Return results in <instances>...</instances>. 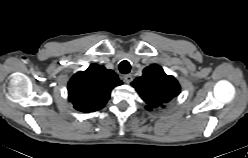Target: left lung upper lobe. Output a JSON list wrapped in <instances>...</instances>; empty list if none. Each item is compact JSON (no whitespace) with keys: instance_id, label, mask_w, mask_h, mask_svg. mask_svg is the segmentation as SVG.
<instances>
[{"instance_id":"obj_1","label":"left lung upper lobe","mask_w":248,"mask_h":158,"mask_svg":"<svg viewBox=\"0 0 248 158\" xmlns=\"http://www.w3.org/2000/svg\"><path fill=\"white\" fill-rule=\"evenodd\" d=\"M140 97L148 104L146 109L157 108L180 93V86L173 76L165 74L158 65H150L141 77L132 82Z\"/></svg>"}]
</instances>
